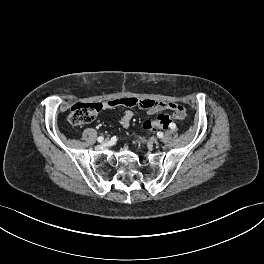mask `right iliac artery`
Masks as SVG:
<instances>
[{"label": "right iliac artery", "mask_w": 264, "mask_h": 264, "mask_svg": "<svg viewBox=\"0 0 264 264\" xmlns=\"http://www.w3.org/2000/svg\"><path fill=\"white\" fill-rule=\"evenodd\" d=\"M103 139H104V138H103L102 136H99V137L97 138V141H98V142H102Z\"/></svg>", "instance_id": "obj_1"}]
</instances>
